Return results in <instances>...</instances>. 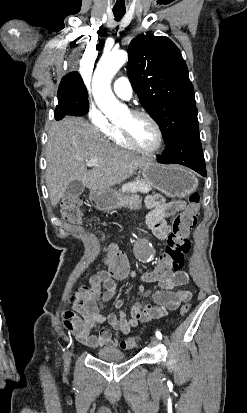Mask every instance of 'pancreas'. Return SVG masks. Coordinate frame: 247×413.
<instances>
[{
    "label": "pancreas",
    "mask_w": 247,
    "mask_h": 413,
    "mask_svg": "<svg viewBox=\"0 0 247 413\" xmlns=\"http://www.w3.org/2000/svg\"><path fill=\"white\" fill-rule=\"evenodd\" d=\"M121 190L122 192H149V190H152V186L142 178H135V180L123 184Z\"/></svg>",
    "instance_id": "obj_1"
}]
</instances>
